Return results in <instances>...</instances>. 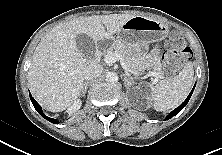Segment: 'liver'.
Masks as SVG:
<instances>
[{
    "label": "liver",
    "instance_id": "liver-1",
    "mask_svg": "<svg viewBox=\"0 0 222 155\" xmlns=\"http://www.w3.org/2000/svg\"><path fill=\"white\" fill-rule=\"evenodd\" d=\"M133 17L94 15L64 22L49 31L36 47L28 71V84L36 100L52 112L74 103L83 88L84 70L93 63L79 51L77 35L86 34L94 42L113 39Z\"/></svg>",
    "mask_w": 222,
    "mask_h": 155
}]
</instances>
